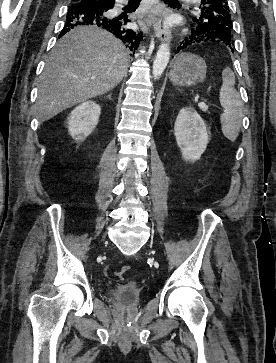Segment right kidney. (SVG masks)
Returning a JSON list of instances; mask_svg holds the SVG:
<instances>
[{
  "mask_svg": "<svg viewBox=\"0 0 276 363\" xmlns=\"http://www.w3.org/2000/svg\"><path fill=\"white\" fill-rule=\"evenodd\" d=\"M100 113L101 107L93 101L77 106L67 118L71 137L76 141H84L97 126Z\"/></svg>",
  "mask_w": 276,
  "mask_h": 363,
  "instance_id": "1",
  "label": "right kidney"
}]
</instances>
